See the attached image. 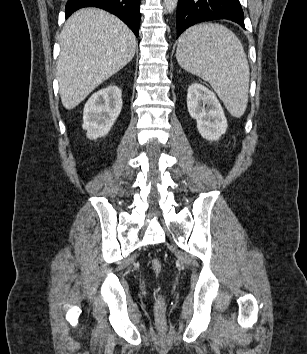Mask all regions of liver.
I'll return each mask as SVG.
<instances>
[{"instance_id":"liver-1","label":"liver","mask_w":307,"mask_h":354,"mask_svg":"<svg viewBox=\"0 0 307 354\" xmlns=\"http://www.w3.org/2000/svg\"><path fill=\"white\" fill-rule=\"evenodd\" d=\"M59 43V93L63 106L70 110L132 60L137 40L116 16L86 8L67 19Z\"/></svg>"}]
</instances>
